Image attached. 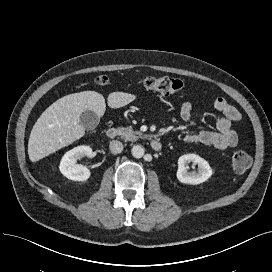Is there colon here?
Segmentation results:
<instances>
[{"instance_id":"colon-1","label":"colon","mask_w":272,"mask_h":272,"mask_svg":"<svg viewBox=\"0 0 272 272\" xmlns=\"http://www.w3.org/2000/svg\"><path fill=\"white\" fill-rule=\"evenodd\" d=\"M107 81L105 76L96 79L98 85H105ZM142 84L146 90L161 95H172L184 88V83L180 79L169 76H149L143 79ZM232 166L235 172L243 173L251 166V157L245 151H237L232 157Z\"/></svg>"}]
</instances>
